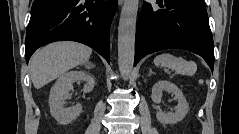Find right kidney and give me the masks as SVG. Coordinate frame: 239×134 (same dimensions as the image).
Returning <instances> with one entry per match:
<instances>
[{"label":"right kidney","instance_id":"ca27d5eb","mask_svg":"<svg viewBox=\"0 0 239 134\" xmlns=\"http://www.w3.org/2000/svg\"><path fill=\"white\" fill-rule=\"evenodd\" d=\"M85 82L83 92L90 93L95 85L94 77L85 71H70L61 75L50 91L49 107L51 115L60 124H68L75 120L82 112L81 104L64 108L65 100L70 98L69 91L74 82Z\"/></svg>","mask_w":239,"mask_h":134}]
</instances>
